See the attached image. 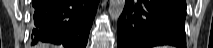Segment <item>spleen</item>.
I'll use <instances>...</instances> for the list:
<instances>
[{"instance_id": "3e777b00", "label": "spleen", "mask_w": 213, "mask_h": 48, "mask_svg": "<svg viewBox=\"0 0 213 48\" xmlns=\"http://www.w3.org/2000/svg\"><path fill=\"white\" fill-rule=\"evenodd\" d=\"M158 48H167V47H158Z\"/></svg>"}]
</instances>
